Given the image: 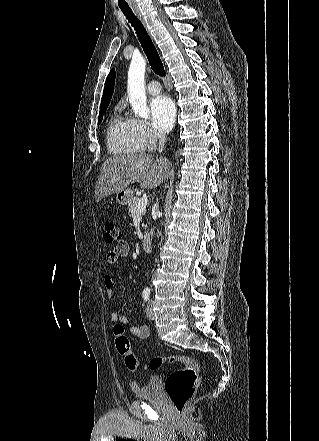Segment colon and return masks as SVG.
Masks as SVG:
<instances>
[{"instance_id": "5ec220e1", "label": "colon", "mask_w": 319, "mask_h": 441, "mask_svg": "<svg viewBox=\"0 0 319 441\" xmlns=\"http://www.w3.org/2000/svg\"><path fill=\"white\" fill-rule=\"evenodd\" d=\"M103 236L107 243H114L120 239V232L114 222L109 221L105 223ZM113 332L116 349L123 356L126 367L131 371H156L165 364L182 365V368L172 371L166 377L164 387L177 416H183L186 404L193 397L197 388L199 380V365L197 361L189 356L174 354L156 356L147 362L141 363L131 352V343L122 324L116 323Z\"/></svg>"}]
</instances>
